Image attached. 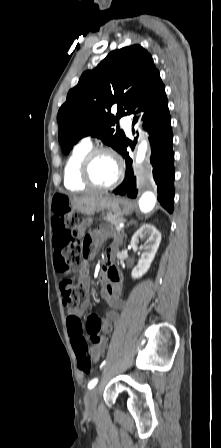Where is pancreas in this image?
<instances>
[{"instance_id": "obj_1", "label": "pancreas", "mask_w": 221, "mask_h": 448, "mask_svg": "<svg viewBox=\"0 0 221 448\" xmlns=\"http://www.w3.org/2000/svg\"><path fill=\"white\" fill-rule=\"evenodd\" d=\"M102 219L109 222L111 226H117L120 223H123L125 219L123 217H117L115 215L107 214L106 216H103Z\"/></svg>"}]
</instances>
